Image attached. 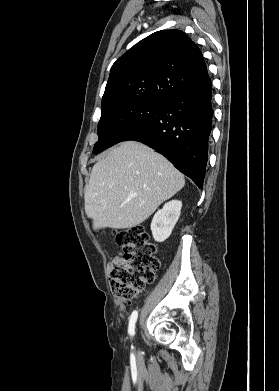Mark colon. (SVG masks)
<instances>
[{
    "instance_id": "colon-1",
    "label": "colon",
    "mask_w": 279,
    "mask_h": 391,
    "mask_svg": "<svg viewBox=\"0 0 279 391\" xmlns=\"http://www.w3.org/2000/svg\"><path fill=\"white\" fill-rule=\"evenodd\" d=\"M115 240L123 253L110 271V286L115 296L131 302L155 280L160 268L157 247L142 226L115 232Z\"/></svg>"
}]
</instances>
